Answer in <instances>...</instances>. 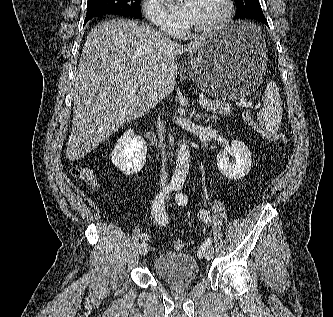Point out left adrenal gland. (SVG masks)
<instances>
[{
    "instance_id": "a2214340",
    "label": "left adrenal gland",
    "mask_w": 333,
    "mask_h": 317,
    "mask_svg": "<svg viewBox=\"0 0 333 317\" xmlns=\"http://www.w3.org/2000/svg\"><path fill=\"white\" fill-rule=\"evenodd\" d=\"M206 116H207V114L204 115L203 113L202 114L198 113V114L195 115V119L200 120V119H202Z\"/></svg>"
}]
</instances>
